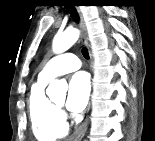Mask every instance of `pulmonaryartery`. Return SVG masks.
<instances>
[{
  "mask_svg": "<svg viewBox=\"0 0 155 141\" xmlns=\"http://www.w3.org/2000/svg\"><path fill=\"white\" fill-rule=\"evenodd\" d=\"M81 67L80 59L72 53H62L53 57L43 71L39 78L43 80H50L55 76L75 71Z\"/></svg>",
  "mask_w": 155,
  "mask_h": 141,
  "instance_id": "e3ab8cb5",
  "label": "pulmonary artery"
}]
</instances>
